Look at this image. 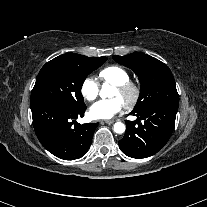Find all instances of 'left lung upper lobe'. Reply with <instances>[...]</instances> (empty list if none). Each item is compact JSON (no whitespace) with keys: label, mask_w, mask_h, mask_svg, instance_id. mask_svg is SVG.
I'll list each match as a JSON object with an SVG mask.
<instances>
[{"label":"left lung upper lobe","mask_w":207,"mask_h":207,"mask_svg":"<svg viewBox=\"0 0 207 207\" xmlns=\"http://www.w3.org/2000/svg\"><path fill=\"white\" fill-rule=\"evenodd\" d=\"M113 59L132 69L139 77L141 92L133 113L143 112L157 104H178L174 77L166 64L140 52Z\"/></svg>","instance_id":"1"}]
</instances>
